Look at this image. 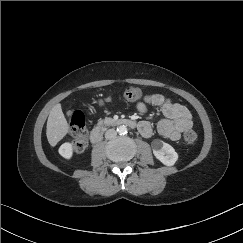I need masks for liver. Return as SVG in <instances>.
<instances>
[{
	"instance_id": "liver-1",
	"label": "liver",
	"mask_w": 243,
	"mask_h": 243,
	"mask_svg": "<svg viewBox=\"0 0 243 243\" xmlns=\"http://www.w3.org/2000/svg\"><path fill=\"white\" fill-rule=\"evenodd\" d=\"M68 130L67 120L63 114L61 104L58 103L51 109L47 120L46 136L49 144L52 147L56 146L66 136Z\"/></svg>"
}]
</instances>
